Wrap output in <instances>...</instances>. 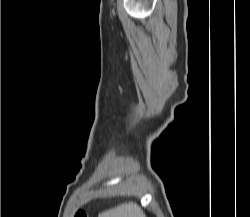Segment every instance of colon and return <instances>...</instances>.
I'll return each instance as SVG.
<instances>
[{
    "label": "colon",
    "mask_w": 250,
    "mask_h": 217,
    "mask_svg": "<svg viewBox=\"0 0 250 217\" xmlns=\"http://www.w3.org/2000/svg\"><path fill=\"white\" fill-rule=\"evenodd\" d=\"M74 217H88L84 211H77Z\"/></svg>",
    "instance_id": "obj_1"
}]
</instances>
